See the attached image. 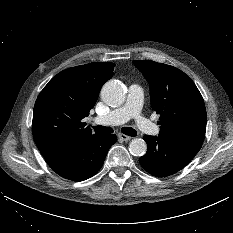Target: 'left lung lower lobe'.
Returning a JSON list of instances; mask_svg holds the SVG:
<instances>
[{
  "instance_id": "obj_1",
  "label": "left lung lower lobe",
  "mask_w": 233,
  "mask_h": 233,
  "mask_svg": "<svg viewBox=\"0 0 233 233\" xmlns=\"http://www.w3.org/2000/svg\"><path fill=\"white\" fill-rule=\"evenodd\" d=\"M147 153L139 159L150 174L166 177L184 168L200 150L201 145L189 141L169 140L145 135Z\"/></svg>"
}]
</instances>
